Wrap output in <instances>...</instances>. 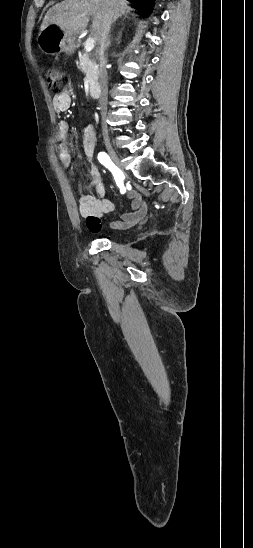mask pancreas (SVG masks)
Masks as SVG:
<instances>
[{
	"instance_id": "1",
	"label": "pancreas",
	"mask_w": 253,
	"mask_h": 548,
	"mask_svg": "<svg viewBox=\"0 0 253 548\" xmlns=\"http://www.w3.org/2000/svg\"><path fill=\"white\" fill-rule=\"evenodd\" d=\"M77 66L86 74L90 83V89L94 88L97 85L99 75L98 65L95 59L87 53H81L79 54Z\"/></svg>"
}]
</instances>
